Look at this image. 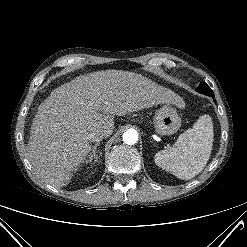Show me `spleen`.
I'll return each mask as SVG.
<instances>
[{
  "instance_id": "1",
  "label": "spleen",
  "mask_w": 247,
  "mask_h": 247,
  "mask_svg": "<svg viewBox=\"0 0 247 247\" xmlns=\"http://www.w3.org/2000/svg\"><path fill=\"white\" fill-rule=\"evenodd\" d=\"M213 137L212 118L202 115L192 128L180 134L172 147L155 155V163L177 178L189 180L206 166L212 151Z\"/></svg>"
}]
</instances>
